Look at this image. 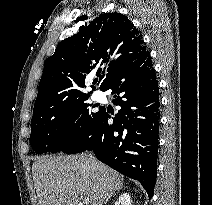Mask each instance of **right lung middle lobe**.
I'll use <instances>...</instances> for the list:
<instances>
[{"mask_svg":"<svg viewBox=\"0 0 212 205\" xmlns=\"http://www.w3.org/2000/svg\"><path fill=\"white\" fill-rule=\"evenodd\" d=\"M87 99L33 110L30 144L37 154L60 152L92 127L102 109L93 112Z\"/></svg>","mask_w":212,"mask_h":205,"instance_id":"dd1d6c3e","label":"right lung middle lobe"}]
</instances>
